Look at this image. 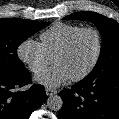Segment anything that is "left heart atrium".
<instances>
[{
  "instance_id": "39dd6f15",
  "label": "left heart atrium",
  "mask_w": 119,
  "mask_h": 119,
  "mask_svg": "<svg viewBox=\"0 0 119 119\" xmlns=\"http://www.w3.org/2000/svg\"><path fill=\"white\" fill-rule=\"evenodd\" d=\"M70 79V75L59 65L45 69L36 76L37 82L52 88L58 87Z\"/></svg>"
}]
</instances>
